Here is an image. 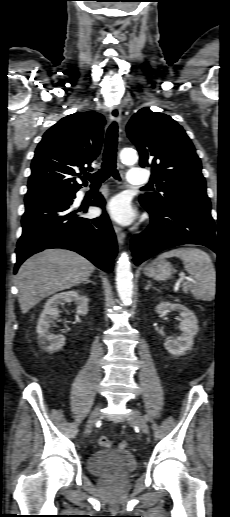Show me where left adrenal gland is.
Masks as SVG:
<instances>
[{
    "label": "left adrenal gland",
    "mask_w": 230,
    "mask_h": 517,
    "mask_svg": "<svg viewBox=\"0 0 230 517\" xmlns=\"http://www.w3.org/2000/svg\"><path fill=\"white\" fill-rule=\"evenodd\" d=\"M147 283H148V284H147V286L145 287V290H146V291H147V290H149L150 288L155 289L154 287H152V285H151V282H150V281H147Z\"/></svg>",
    "instance_id": "obj_1"
}]
</instances>
